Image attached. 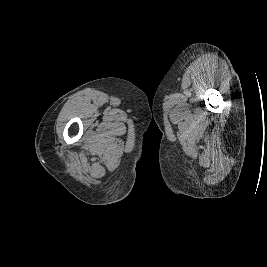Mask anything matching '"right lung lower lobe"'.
Segmentation results:
<instances>
[{
  "label": "right lung lower lobe",
  "instance_id": "98d812e1",
  "mask_svg": "<svg viewBox=\"0 0 267 267\" xmlns=\"http://www.w3.org/2000/svg\"><path fill=\"white\" fill-rule=\"evenodd\" d=\"M151 150H152V147H151L150 143L148 142V140L146 138L145 139V143H144V148H143L142 159L148 157L150 152H151Z\"/></svg>",
  "mask_w": 267,
  "mask_h": 267
}]
</instances>
